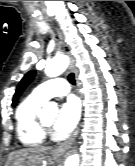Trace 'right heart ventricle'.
Instances as JSON below:
<instances>
[{
    "instance_id": "obj_1",
    "label": "right heart ventricle",
    "mask_w": 135,
    "mask_h": 166,
    "mask_svg": "<svg viewBox=\"0 0 135 166\" xmlns=\"http://www.w3.org/2000/svg\"><path fill=\"white\" fill-rule=\"evenodd\" d=\"M45 101L30 94L16 108V134L25 147H39L45 142L46 135L38 124V113Z\"/></svg>"
}]
</instances>
